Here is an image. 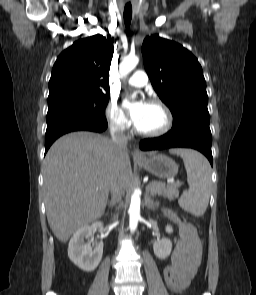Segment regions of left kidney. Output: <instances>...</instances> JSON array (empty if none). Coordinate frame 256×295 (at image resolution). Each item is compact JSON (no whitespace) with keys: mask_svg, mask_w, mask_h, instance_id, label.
<instances>
[{"mask_svg":"<svg viewBox=\"0 0 256 295\" xmlns=\"http://www.w3.org/2000/svg\"><path fill=\"white\" fill-rule=\"evenodd\" d=\"M167 233H172L173 228L167 225L165 228ZM154 254L161 260L166 259L172 251V242L168 238H163L161 240H156L153 244Z\"/></svg>","mask_w":256,"mask_h":295,"instance_id":"5707ae66","label":"left kidney"}]
</instances>
